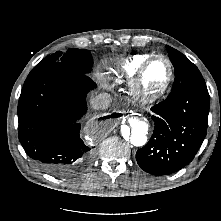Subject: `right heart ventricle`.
Returning <instances> with one entry per match:
<instances>
[{
  "mask_svg": "<svg viewBox=\"0 0 221 221\" xmlns=\"http://www.w3.org/2000/svg\"><path fill=\"white\" fill-rule=\"evenodd\" d=\"M152 55V53H139L129 56L117 65L115 73L126 80H131L142 63Z\"/></svg>",
  "mask_w": 221,
  "mask_h": 221,
  "instance_id": "right-heart-ventricle-1",
  "label": "right heart ventricle"
}]
</instances>
